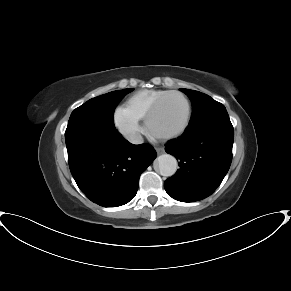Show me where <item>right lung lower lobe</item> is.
<instances>
[{
  "instance_id": "right-lung-lower-lobe-1",
  "label": "right lung lower lobe",
  "mask_w": 291,
  "mask_h": 291,
  "mask_svg": "<svg viewBox=\"0 0 291 291\" xmlns=\"http://www.w3.org/2000/svg\"><path fill=\"white\" fill-rule=\"evenodd\" d=\"M65 141L70 171L79 189L103 207L132 200L140 175L156 158L152 146L133 145L114 125L100 122L68 123Z\"/></svg>"
}]
</instances>
